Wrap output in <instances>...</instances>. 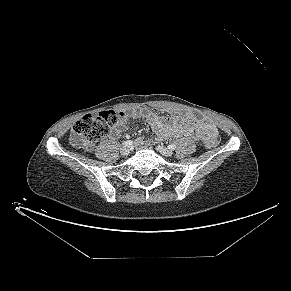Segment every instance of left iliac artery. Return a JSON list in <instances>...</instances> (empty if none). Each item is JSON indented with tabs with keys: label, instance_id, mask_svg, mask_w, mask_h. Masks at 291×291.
<instances>
[{
	"label": "left iliac artery",
	"instance_id": "obj_1",
	"mask_svg": "<svg viewBox=\"0 0 291 291\" xmlns=\"http://www.w3.org/2000/svg\"><path fill=\"white\" fill-rule=\"evenodd\" d=\"M168 148L171 149V150H174L176 148V145L174 143H170L168 145Z\"/></svg>",
	"mask_w": 291,
	"mask_h": 291
}]
</instances>
